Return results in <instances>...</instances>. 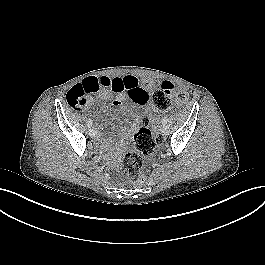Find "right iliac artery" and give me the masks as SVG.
<instances>
[{
	"label": "right iliac artery",
	"instance_id": "obj_1",
	"mask_svg": "<svg viewBox=\"0 0 265 265\" xmlns=\"http://www.w3.org/2000/svg\"><path fill=\"white\" fill-rule=\"evenodd\" d=\"M92 125H93V123H92V121L89 119V120L87 121V126H88V128L91 129Z\"/></svg>",
	"mask_w": 265,
	"mask_h": 265
}]
</instances>
